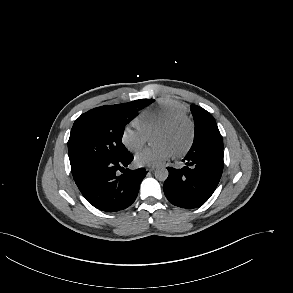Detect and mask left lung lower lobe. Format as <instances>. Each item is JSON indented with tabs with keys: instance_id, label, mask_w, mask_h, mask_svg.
<instances>
[{
	"instance_id": "0a47b994",
	"label": "left lung lower lobe",
	"mask_w": 293,
	"mask_h": 293,
	"mask_svg": "<svg viewBox=\"0 0 293 293\" xmlns=\"http://www.w3.org/2000/svg\"><path fill=\"white\" fill-rule=\"evenodd\" d=\"M182 169L168 167L169 176L163 185L167 199L182 208L204 204L215 191L223 172V150L212 145L190 149L182 160Z\"/></svg>"
}]
</instances>
